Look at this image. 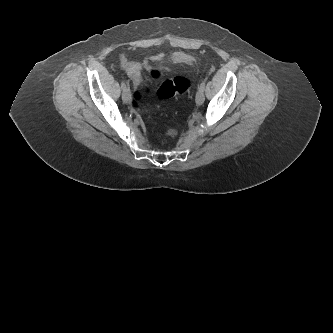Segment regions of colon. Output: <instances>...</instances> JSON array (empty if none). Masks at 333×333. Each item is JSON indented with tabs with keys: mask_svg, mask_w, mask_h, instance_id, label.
<instances>
[{
	"mask_svg": "<svg viewBox=\"0 0 333 333\" xmlns=\"http://www.w3.org/2000/svg\"><path fill=\"white\" fill-rule=\"evenodd\" d=\"M191 88V81L185 77H175L162 82L156 91V94L161 99H168L178 94H185ZM170 135H175L176 131H169Z\"/></svg>",
	"mask_w": 333,
	"mask_h": 333,
	"instance_id": "1",
	"label": "colon"
}]
</instances>
